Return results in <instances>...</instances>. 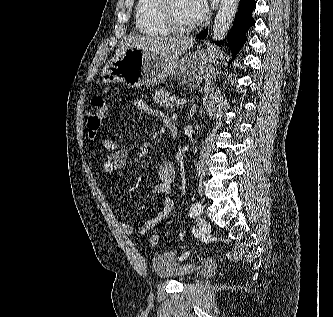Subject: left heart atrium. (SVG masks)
I'll list each match as a JSON object with an SVG mask.
<instances>
[{
    "mask_svg": "<svg viewBox=\"0 0 333 317\" xmlns=\"http://www.w3.org/2000/svg\"><path fill=\"white\" fill-rule=\"evenodd\" d=\"M192 17L195 23L202 21L207 13L205 0H190Z\"/></svg>",
    "mask_w": 333,
    "mask_h": 317,
    "instance_id": "1",
    "label": "left heart atrium"
}]
</instances>
